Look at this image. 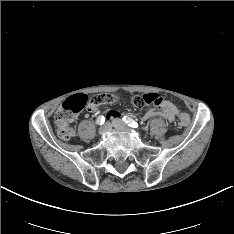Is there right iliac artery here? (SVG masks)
<instances>
[{
  "label": "right iliac artery",
  "mask_w": 234,
  "mask_h": 234,
  "mask_svg": "<svg viewBox=\"0 0 234 234\" xmlns=\"http://www.w3.org/2000/svg\"><path fill=\"white\" fill-rule=\"evenodd\" d=\"M104 122H105L104 116H99V117L97 118V120H96V123H97L98 125H102Z\"/></svg>",
  "instance_id": "1"
}]
</instances>
